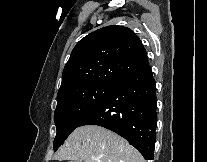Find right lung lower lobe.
<instances>
[{
	"mask_svg": "<svg viewBox=\"0 0 207 162\" xmlns=\"http://www.w3.org/2000/svg\"><path fill=\"white\" fill-rule=\"evenodd\" d=\"M98 125L124 137L153 160L156 129L155 81L149 65L125 76L80 123Z\"/></svg>",
	"mask_w": 207,
	"mask_h": 162,
	"instance_id": "1",
	"label": "right lung lower lobe"
}]
</instances>
